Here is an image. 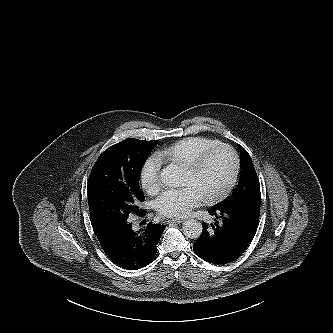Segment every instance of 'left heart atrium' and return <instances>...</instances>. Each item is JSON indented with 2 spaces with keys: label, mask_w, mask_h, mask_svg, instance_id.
Returning <instances> with one entry per match:
<instances>
[{
  "label": "left heart atrium",
  "mask_w": 333,
  "mask_h": 333,
  "mask_svg": "<svg viewBox=\"0 0 333 333\" xmlns=\"http://www.w3.org/2000/svg\"><path fill=\"white\" fill-rule=\"evenodd\" d=\"M202 195L192 186L170 188L165 190L157 199L156 207L164 217L181 218L199 206L203 201Z\"/></svg>",
  "instance_id": "left-heart-atrium-1"
}]
</instances>
